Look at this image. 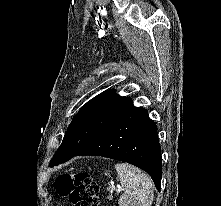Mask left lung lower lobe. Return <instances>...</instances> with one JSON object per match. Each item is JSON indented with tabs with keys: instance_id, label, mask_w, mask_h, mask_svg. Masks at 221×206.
Instances as JSON below:
<instances>
[{
	"instance_id": "1",
	"label": "left lung lower lobe",
	"mask_w": 221,
	"mask_h": 206,
	"mask_svg": "<svg viewBox=\"0 0 221 206\" xmlns=\"http://www.w3.org/2000/svg\"><path fill=\"white\" fill-rule=\"evenodd\" d=\"M76 155L102 156L133 164L146 171L160 191L161 149L157 126L146 109L131 104Z\"/></svg>"
}]
</instances>
